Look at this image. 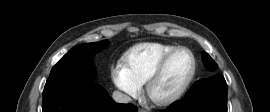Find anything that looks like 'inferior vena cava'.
Segmentation results:
<instances>
[{"label":"inferior vena cava","instance_id":"inferior-vena-cava-1","mask_svg":"<svg viewBox=\"0 0 270 112\" xmlns=\"http://www.w3.org/2000/svg\"><path fill=\"white\" fill-rule=\"evenodd\" d=\"M112 98L117 103H129L131 100L128 95L123 94L120 91H114L112 94Z\"/></svg>","mask_w":270,"mask_h":112}]
</instances>
